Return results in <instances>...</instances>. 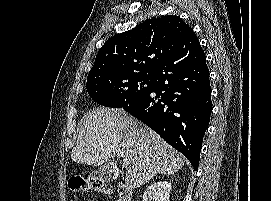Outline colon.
<instances>
[{"mask_svg": "<svg viewBox=\"0 0 271 201\" xmlns=\"http://www.w3.org/2000/svg\"><path fill=\"white\" fill-rule=\"evenodd\" d=\"M70 188L73 191H94L100 194L110 192L105 183L96 177L74 178L70 181Z\"/></svg>", "mask_w": 271, "mask_h": 201, "instance_id": "obj_1", "label": "colon"}]
</instances>
